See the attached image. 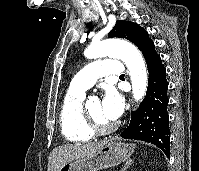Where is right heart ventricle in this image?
I'll return each instance as SVG.
<instances>
[{"instance_id": "e07e8e85", "label": "right heart ventricle", "mask_w": 199, "mask_h": 171, "mask_svg": "<svg viewBox=\"0 0 199 171\" xmlns=\"http://www.w3.org/2000/svg\"><path fill=\"white\" fill-rule=\"evenodd\" d=\"M84 97L85 92L68 88L61 103L59 111L61 132L65 139L71 142H86L94 136L84 112Z\"/></svg>"}]
</instances>
